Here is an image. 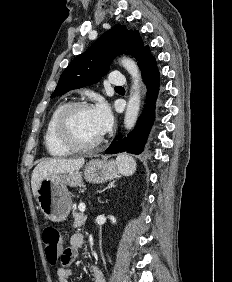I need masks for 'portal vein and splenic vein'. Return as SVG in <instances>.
<instances>
[{
    "instance_id": "1",
    "label": "portal vein and splenic vein",
    "mask_w": 232,
    "mask_h": 282,
    "mask_svg": "<svg viewBox=\"0 0 232 282\" xmlns=\"http://www.w3.org/2000/svg\"><path fill=\"white\" fill-rule=\"evenodd\" d=\"M85 209H86L85 204H84V203H80V204H79V210H80L81 212H85Z\"/></svg>"
}]
</instances>
